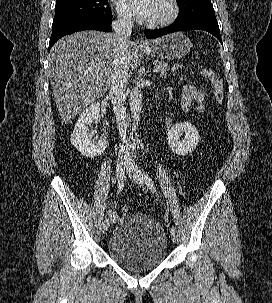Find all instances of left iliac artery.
Wrapping results in <instances>:
<instances>
[{"label": "left iliac artery", "mask_w": 272, "mask_h": 303, "mask_svg": "<svg viewBox=\"0 0 272 303\" xmlns=\"http://www.w3.org/2000/svg\"><path fill=\"white\" fill-rule=\"evenodd\" d=\"M143 176L145 178L146 184L149 187V189L152 192H156V188L154 186V182H153L152 178L145 171H143ZM170 229H171V231H176V228L174 226H172Z\"/></svg>", "instance_id": "44dca946"}]
</instances>
